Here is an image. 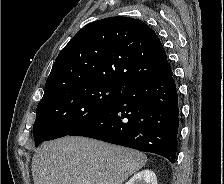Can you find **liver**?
<instances>
[{"instance_id": "obj_1", "label": "liver", "mask_w": 224, "mask_h": 184, "mask_svg": "<svg viewBox=\"0 0 224 184\" xmlns=\"http://www.w3.org/2000/svg\"><path fill=\"white\" fill-rule=\"evenodd\" d=\"M147 162L144 153L85 137L44 142L32 159L34 184H122Z\"/></svg>"}]
</instances>
